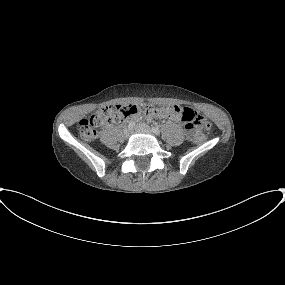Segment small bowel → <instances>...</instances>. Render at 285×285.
Masks as SVG:
<instances>
[{"label":"small bowel","mask_w":285,"mask_h":285,"mask_svg":"<svg viewBox=\"0 0 285 285\" xmlns=\"http://www.w3.org/2000/svg\"><path fill=\"white\" fill-rule=\"evenodd\" d=\"M178 111L176 112H173L171 114H166V113H159L157 114V116L159 118H170L171 120H174V121H177V122H182L183 119H182V109L183 108H180L178 107ZM191 111H193L192 109H190Z\"/></svg>","instance_id":"1"}]
</instances>
